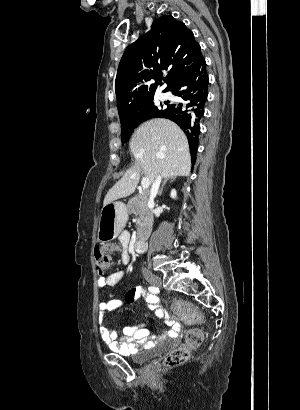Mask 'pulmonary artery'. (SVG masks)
Listing matches in <instances>:
<instances>
[{"label": "pulmonary artery", "instance_id": "e3ab8cb5", "mask_svg": "<svg viewBox=\"0 0 300 410\" xmlns=\"http://www.w3.org/2000/svg\"><path fill=\"white\" fill-rule=\"evenodd\" d=\"M162 98H163V99L167 98V95H166V94H164V95L162 96Z\"/></svg>", "mask_w": 300, "mask_h": 410}]
</instances>
